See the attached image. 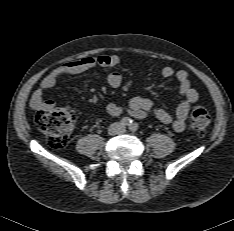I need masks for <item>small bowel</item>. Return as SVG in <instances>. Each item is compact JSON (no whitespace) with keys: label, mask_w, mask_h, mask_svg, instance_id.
I'll list each match as a JSON object with an SVG mask.
<instances>
[{"label":"small bowel","mask_w":234,"mask_h":231,"mask_svg":"<svg viewBox=\"0 0 234 231\" xmlns=\"http://www.w3.org/2000/svg\"><path fill=\"white\" fill-rule=\"evenodd\" d=\"M119 62L120 59L117 55L104 54L85 57L58 66L42 79L39 87L33 92L30 100L32 108L35 110H52L56 104L53 100L45 98V92L52 89L59 78L80 74L96 67H100L106 73L107 82L111 87H119L123 80L122 75L115 70ZM160 75L163 80H169L174 76L177 80L182 99L177 102L175 118L165 109L156 107L150 99L145 97L132 98L126 107L109 103L106 106L107 113L112 116L127 113L136 119H144L152 113L163 124L172 125L175 132L184 131L190 109L198 101L199 94L192 88L189 76L183 70L175 73L172 67L164 66L160 71Z\"/></svg>","instance_id":"small-bowel-1"}]
</instances>
